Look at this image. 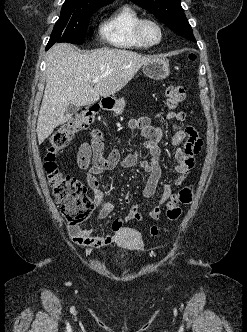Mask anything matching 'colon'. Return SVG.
<instances>
[{
    "instance_id": "colon-1",
    "label": "colon",
    "mask_w": 247,
    "mask_h": 332,
    "mask_svg": "<svg viewBox=\"0 0 247 332\" xmlns=\"http://www.w3.org/2000/svg\"><path fill=\"white\" fill-rule=\"evenodd\" d=\"M195 59L194 54L189 55ZM187 88L183 85H170L165 92L166 104L169 108L177 107L184 101ZM97 109L94 106L82 108L70 121L54 131L49 140L47 153L44 157V169L56 203L70 225H76L89 218L94 210V204L87 194L85 185L77 178L65 174L56 164V157L72 140L74 135L89 127ZM194 189L190 186L181 188L171 194L166 202V217L177 220L182 213L181 204H189L194 198ZM122 228V221L115 219L112 230L118 232ZM151 233L157 235L159 228L153 226Z\"/></svg>"
}]
</instances>
